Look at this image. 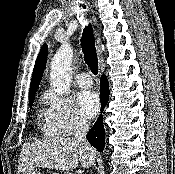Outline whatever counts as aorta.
<instances>
[{
    "instance_id": "762f6f07",
    "label": "aorta",
    "mask_w": 175,
    "mask_h": 174,
    "mask_svg": "<svg viewBox=\"0 0 175 174\" xmlns=\"http://www.w3.org/2000/svg\"><path fill=\"white\" fill-rule=\"evenodd\" d=\"M73 49L63 44L54 55L50 66L51 83L55 91L61 95L69 92L72 80L71 62Z\"/></svg>"
}]
</instances>
